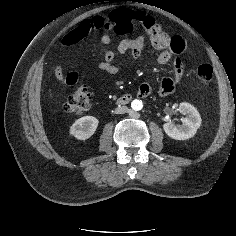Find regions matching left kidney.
<instances>
[{
	"label": "left kidney",
	"mask_w": 236,
	"mask_h": 236,
	"mask_svg": "<svg viewBox=\"0 0 236 236\" xmlns=\"http://www.w3.org/2000/svg\"><path fill=\"white\" fill-rule=\"evenodd\" d=\"M179 111L187 116L181 119L182 125H175L169 121L163 125V129L172 139L187 140L196 134L201 126L202 119L197 109L189 103H180Z\"/></svg>",
	"instance_id": "obj_1"
}]
</instances>
